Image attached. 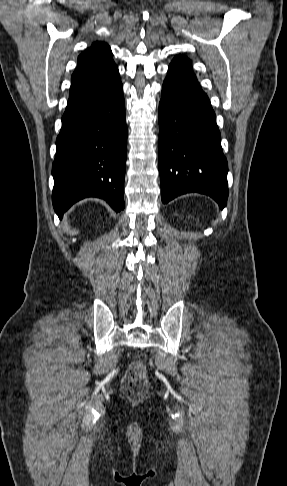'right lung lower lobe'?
<instances>
[{"instance_id": "98d812e1", "label": "right lung lower lobe", "mask_w": 287, "mask_h": 486, "mask_svg": "<svg viewBox=\"0 0 287 486\" xmlns=\"http://www.w3.org/2000/svg\"><path fill=\"white\" fill-rule=\"evenodd\" d=\"M125 103L120 77L69 96L56 140L52 202L60 218L85 197L124 209L127 155Z\"/></svg>"}]
</instances>
